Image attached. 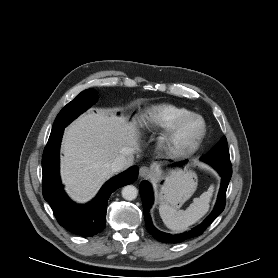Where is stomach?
Here are the masks:
<instances>
[{
    "instance_id": "0dacf381",
    "label": "stomach",
    "mask_w": 278,
    "mask_h": 278,
    "mask_svg": "<svg viewBox=\"0 0 278 278\" xmlns=\"http://www.w3.org/2000/svg\"><path fill=\"white\" fill-rule=\"evenodd\" d=\"M196 174L192 171H174L165 178L159 200L161 204L181 206L197 188Z\"/></svg>"
}]
</instances>
